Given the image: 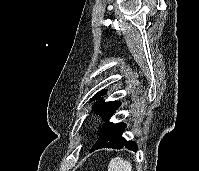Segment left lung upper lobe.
I'll use <instances>...</instances> for the list:
<instances>
[{"label": "left lung upper lobe", "instance_id": "left-lung-upper-lobe-1", "mask_svg": "<svg viewBox=\"0 0 199 171\" xmlns=\"http://www.w3.org/2000/svg\"><path fill=\"white\" fill-rule=\"evenodd\" d=\"M105 92L106 91L98 92L92 99H98ZM120 105L121 103L118 101L104 102L100 100L93 105V110L97 115H100L104 121H106L115 113L116 109H118Z\"/></svg>", "mask_w": 199, "mask_h": 171}]
</instances>
